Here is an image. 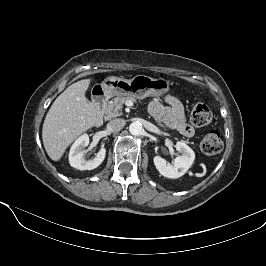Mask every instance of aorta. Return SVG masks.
Returning a JSON list of instances; mask_svg holds the SVG:
<instances>
[{"mask_svg": "<svg viewBox=\"0 0 266 266\" xmlns=\"http://www.w3.org/2000/svg\"><path fill=\"white\" fill-rule=\"evenodd\" d=\"M129 131L132 135H141L143 132L142 124L140 122H132L129 126Z\"/></svg>", "mask_w": 266, "mask_h": 266, "instance_id": "aorta-1", "label": "aorta"}]
</instances>
